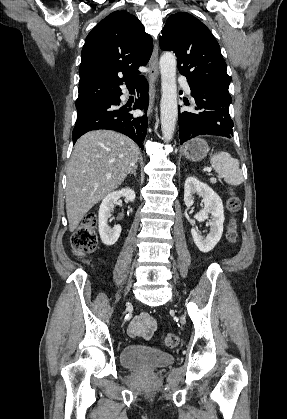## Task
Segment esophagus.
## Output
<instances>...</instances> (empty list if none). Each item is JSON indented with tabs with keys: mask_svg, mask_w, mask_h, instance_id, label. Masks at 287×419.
I'll return each mask as SVG.
<instances>
[{
	"mask_svg": "<svg viewBox=\"0 0 287 419\" xmlns=\"http://www.w3.org/2000/svg\"><path fill=\"white\" fill-rule=\"evenodd\" d=\"M158 46L155 45L152 56L149 61V96H150V104L148 108V114L152 112V107L154 104L155 96H156V81L159 77V67H158Z\"/></svg>",
	"mask_w": 287,
	"mask_h": 419,
	"instance_id": "34e87169",
	"label": "esophagus"
}]
</instances>
